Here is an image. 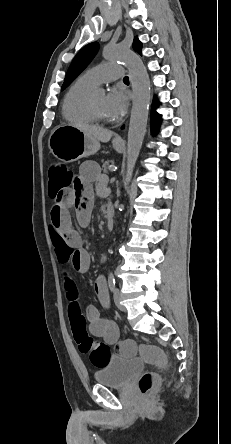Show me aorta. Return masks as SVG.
I'll list each match as a JSON object with an SVG mask.
<instances>
[{"mask_svg": "<svg viewBox=\"0 0 231 444\" xmlns=\"http://www.w3.org/2000/svg\"><path fill=\"white\" fill-rule=\"evenodd\" d=\"M103 55L107 60L124 62L130 69L133 101L127 142V171L124 177V187L127 189L147 126L151 93L150 80L141 58L130 50L109 44L104 47Z\"/></svg>", "mask_w": 231, "mask_h": 444, "instance_id": "obj_1", "label": "aorta"}]
</instances>
